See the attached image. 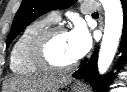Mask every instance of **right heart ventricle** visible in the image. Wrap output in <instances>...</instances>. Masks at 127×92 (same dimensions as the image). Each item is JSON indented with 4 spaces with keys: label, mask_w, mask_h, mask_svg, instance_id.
Masks as SVG:
<instances>
[{
    "label": "right heart ventricle",
    "mask_w": 127,
    "mask_h": 92,
    "mask_svg": "<svg viewBox=\"0 0 127 92\" xmlns=\"http://www.w3.org/2000/svg\"><path fill=\"white\" fill-rule=\"evenodd\" d=\"M52 24L50 17L31 22L21 32L10 53V69L18 75H32L40 72L30 59L29 48L34 36Z\"/></svg>",
    "instance_id": "1"
}]
</instances>
